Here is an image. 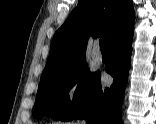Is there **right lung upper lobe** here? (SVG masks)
<instances>
[{
    "instance_id": "right-lung-upper-lobe-1",
    "label": "right lung upper lobe",
    "mask_w": 156,
    "mask_h": 124,
    "mask_svg": "<svg viewBox=\"0 0 156 124\" xmlns=\"http://www.w3.org/2000/svg\"><path fill=\"white\" fill-rule=\"evenodd\" d=\"M133 25L131 0H79L53 37L41 79L84 63L89 36L105 35L109 46Z\"/></svg>"
}]
</instances>
